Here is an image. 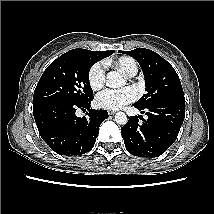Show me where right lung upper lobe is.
Segmentation results:
<instances>
[{
  "mask_svg": "<svg viewBox=\"0 0 214 214\" xmlns=\"http://www.w3.org/2000/svg\"><path fill=\"white\" fill-rule=\"evenodd\" d=\"M94 55H96L100 60L106 58L114 53V51H91Z\"/></svg>",
  "mask_w": 214,
  "mask_h": 214,
  "instance_id": "obj_1",
  "label": "right lung upper lobe"
}]
</instances>
